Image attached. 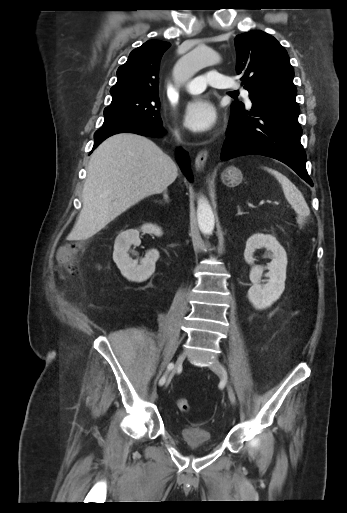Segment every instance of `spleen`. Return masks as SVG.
<instances>
[{"mask_svg": "<svg viewBox=\"0 0 347 513\" xmlns=\"http://www.w3.org/2000/svg\"><path fill=\"white\" fill-rule=\"evenodd\" d=\"M264 169L272 174L281 184L287 201L298 215V223H302L309 216L310 209L300 190L289 180L287 176L278 170L269 167H264Z\"/></svg>", "mask_w": 347, "mask_h": 513, "instance_id": "spleen-1", "label": "spleen"}]
</instances>
